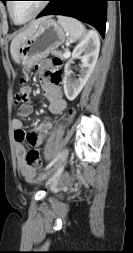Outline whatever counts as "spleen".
I'll use <instances>...</instances> for the list:
<instances>
[{
    "mask_svg": "<svg viewBox=\"0 0 133 253\" xmlns=\"http://www.w3.org/2000/svg\"><path fill=\"white\" fill-rule=\"evenodd\" d=\"M57 18L58 23L62 26L66 34L69 35L70 41H77L85 35L86 29L80 21L61 15L57 16Z\"/></svg>",
    "mask_w": 133,
    "mask_h": 253,
    "instance_id": "obj_1",
    "label": "spleen"
}]
</instances>
